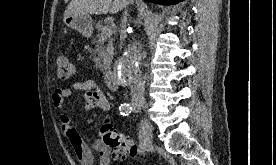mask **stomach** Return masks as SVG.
I'll return each instance as SVG.
<instances>
[{
  "instance_id": "stomach-1",
  "label": "stomach",
  "mask_w": 276,
  "mask_h": 165,
  "mask_svg": "<svg viewBox=\"0 0 276 165\" xmlns=\"http://www.w3.org/2000/svg\"><path fill=\"white\" fill-rule=\"evenodd\" d=\"M71 29L77 30L85 37H90L93 30L92 18L89 15H71L63 20Z\"/></svg>"
}]
</instances>
